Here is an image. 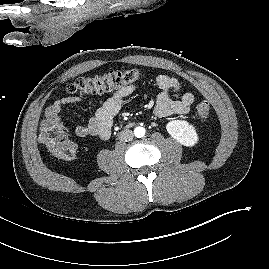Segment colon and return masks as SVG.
Instances as JSON below:
<instances>
[{"label": "colon", "mask_w": 269, "mask_h": 269, "mask_svg": "<svg viewBox=\"0 0 269 269\" xmlns=\"http://www.w3.org/2000/svg\"><path fill=\"white\" fill-rule=\"evenodd\" d=\"M137 69L110 71L101 75L83 76L69 84L66 91L69 94L87 95L107 92L113 88L131 85L142 78ZM211 108L207 101L196 105L195 113L200 119L210 116ZM39 140L46 149L56 158L62 160L73 159L76 154V145L65 136L59 122L46 118L39 127Z\"/></svg>", "instance_id": "1"}]
</instances>
